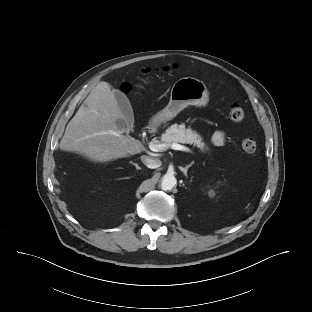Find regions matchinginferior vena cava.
<instances>
[{
	"mask_svg": "<svg viewBox=\"0 0 312 312\" xmlns=\"http://www.w3.org/2000/svg\"><path fill=\"white\" fill-rule=\"evenodd\" d=\"M141 161L145 166L151 169H155L161 166V161L158 158H151L149 156L142 155Z\"/></svg>",
	"mask_w": 312,
	"mask_h": 312,
	"instance_id": "1",
	"label": "inferior vena cava"
}]
</instances>
